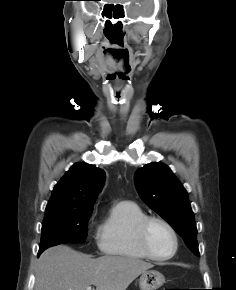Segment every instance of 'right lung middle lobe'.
<instances>
[{
	"label": "right lung middle lobe",
	"instance_id": "1",
	"mask_svg": "<svg viewBox=\"0 0 236 290\" xmlns=\"http://www.w3.org/2000/svg\"><path fill=\"white\" fill-rule=\"evenodd\" d=\"M91 213L92 210L45 213L38 255L50 246L84 242L87 237V227Z\"/></svg>",
	"mask_w": 236,
	"mask_h": 290
}]
</instances>
